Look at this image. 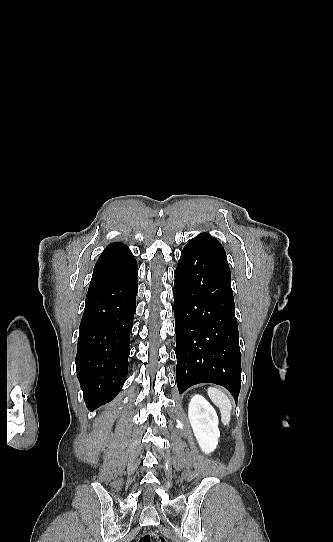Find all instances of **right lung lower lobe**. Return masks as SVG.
<instances>
[{
    "label": "right lung lower lobe",
    "instance_id": "1",
    "mask_svg": "<svg viewBox=\"0 0 333 542\" xmlns=\"http://www.w3.org/2000/svg\"><path fill=\"white\" fill-rule=\"evenodd\" d=\"M137 277V263L123 243L107 246L95 264L75 359L90 410L113 400L126 380Z\"/></svg>",
    "mask_w": 333,
    "mask_h": 542
}]
</instances>
